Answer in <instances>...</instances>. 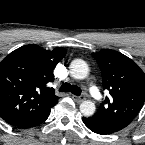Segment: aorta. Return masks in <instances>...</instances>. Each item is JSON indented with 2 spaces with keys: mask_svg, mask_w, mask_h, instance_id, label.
I'll return each instance as SVG.
<instances>
[{
  "mask_svg": "<svg viewBox=\"0 0 145 145\" xmlns=\"http://www.w3.org/2000/svg\"><path fill=\"white\" fill-rule=\"evenodd\" d=\"M70 74L75 79H85L89 73L87 63L82 59H75L70 64ZM95 104L92 101H84L80 104V112L84 116H92L95 112Z\"/></svg>",
  "mask_w": 145,
  "mask_h": 145,
  "instance_id": "obj_1",
  "label": "aorta"
}]
</instances>
